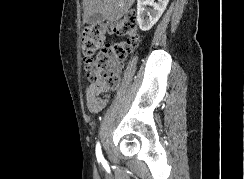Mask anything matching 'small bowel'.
<instances>
[{
  "mask_svg": "<svg viewBox=\"0 0 244 179\" xmlns=\"http://www.w3.org/2000/svg\"><path fill=\"white\" fill-rule=\"evenodd\" d=\"M111 99L110 93L103 87L101 89H90L85 91V101L88 109L94 113H100L109 103Z\"/></svg>",
  "mask_w": 244,
  "mask_h": 179,
  "instance_id": "1",
  "label": "small bowel"
}]
</instances>
